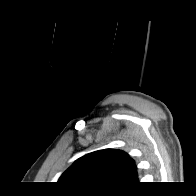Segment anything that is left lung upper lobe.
<instances>
[{
	"mask_svg": "<svg viewBox=\"0 0 196 196\" xmlns=\"http://www.w3.org/2000/svg\"><path fill=\"white\" fill-rule=\"evenodd\" d=\"M134 161L121 150H98L79 158L58 183L86 193L118 192L137 183Z\"/></svg>",
	"mask_w": 196,
	"mask_h": 196,
	"instance_id": "left-lung-upper-lobe-1",
	"label": "left lung upper lobe"
}]
</instances>
